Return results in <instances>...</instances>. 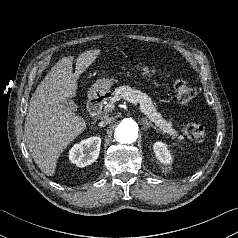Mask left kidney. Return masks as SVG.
<instances>
[{"label":"left kidney","instance_id":"5707ae66","mask_svg":"<svg viewBox=\"0 0 238 238\" xmlns=\"http://www.w3.org/2000/svg\"><path fill=\"white\" fill-rule=\"evenodd\" d=\"M157 159L163 164H171L173 157L167 148V145L161 141H158L153 146Z\"/></svg>","mask_w":238,"mask_h":238}]
</instances>
